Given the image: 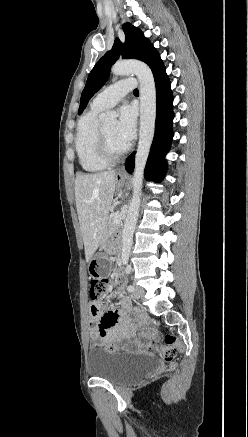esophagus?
I'll return each mask as SVG.
<instances>
[{
    "instance_id": "obj_1",
    "label": "esophagus",
    "mask_w": 248,
    "mask_h": 437,
    "mask_svg": "<svg viewBox=\"0 0 248 437\" xmlns=\"http://www.w3.org/2000/svg\"><path fill=\"white\" fill-rule=\"evenodd\" d=\"M124 175H125L124 167H121L117 172V176L121 177Z\"/></svg>"
}]
</instances>
